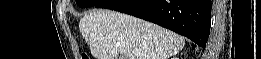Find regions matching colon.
Wrapping results in <instances>:
<instances>
[{
    "instance_id": "obj_1",
    "label": "colon",
    "mask_w": 261,
    "mask_h": 59,
    "mask_svg": "<svg viewBox=\"0 0 261 59\" xmlns=\"http://www.w3.org/2000/svg\"><path fill=\"white\" fill-rule=\"evenodd\" d=\"M89 57L87 55H82V59H88Z\"/></svg>"
}]
</instances>
